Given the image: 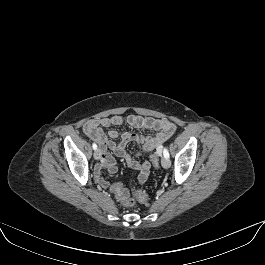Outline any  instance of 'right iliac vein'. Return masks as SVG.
<instances>
[{"instance_id": "63e3f726", "label": "right iliac vein", "mask_w": 265, "mask_h": 265, "mask_svg": "<svg viewBox=\"0 0 265 265\" xmlns=\"http://www.w3.org/2000/svg\"><path fill=\"white\" fill-rule=\"evenodd\" d=\"M100 157H101V151H100V149H96V150L94 151V158H95L96 160H99Z\"/></svg>"}]
</instances>
